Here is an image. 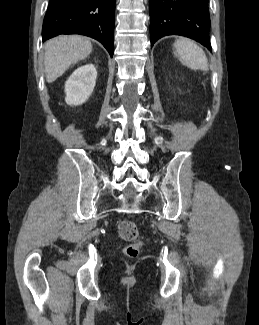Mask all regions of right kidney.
Instances as JSON below:
<instances>
[{"mask_svg": "<svg viewBox=\"0 0 259 325\" xmlns=\"http://www.w3.org/2000/svg\"><path fill=\"white\" fill-rule=\"evenodd\" d=\"M96 77L97 71L93 64L77 68L65 83L66 103L74 106L85 103L94 90Z\"/></svg>", "mask_w": 259, "mask_h": 325, "instance_id": "right-kidney-1", "label": "right kidney"}]
</instances>
